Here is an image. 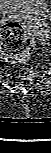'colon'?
Masks as SVG:
<instances>
[{"label":"colon","mask_w":51,"mask_h":153,"mask_svg":"<svg viewBox=\"0 0 51 153\" xmlns=\"http://www.w3.org/2000/svg\"><path fill=\"white\" fill-rule=\"evenodd\" d=\"M35 42L32 35L20 24L10 21L2 27L1 55L7 61L23 63L32 54ZM38 69L24 68L19 77L31 80L38 75Z\"/></svg>","instance_id":"colon-1"}]
</instances>
